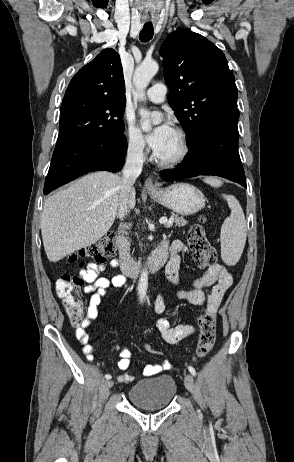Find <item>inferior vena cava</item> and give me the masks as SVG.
<instances>
[{"label": "inferior vena cava", "mask_w": 294, "mask_h": 462, "mask_svg": "<svg viewBox=\"0 0 294 462\" xmlns=\"http://www.w3.org/2000/svg\"><path fill=\"white\" fill-rule=\"evenodd\" d=\"M143 143L133 142L128 146L126 162L122 170L121 193L117 208V218L123 220L130 213V200L133 193V184L142 172L144 155Z\"/></svg>", "instance_id": "inferior-vena-cava-1"}]
</instances>
